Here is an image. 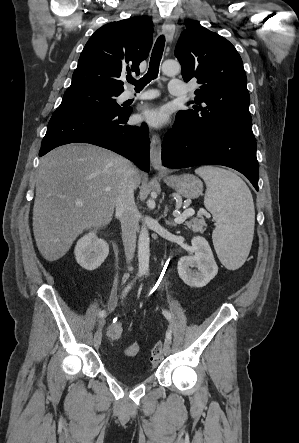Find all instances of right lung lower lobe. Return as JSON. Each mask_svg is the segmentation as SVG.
<instances>
[{"label":"right lung lower lobe","instance_id":"right-lung-lower-lobe-1","mask_svg":"<svg viewBox=\"0 0 299 443\" xmlns=\"http://www.w3.org/2000/svg\"><path fill=\"white\" fill-rule=\"evenodd\" d=\"M132 109L104 112L60 105L53 113L39 156L60 145L90 143L112 150L149 172L150 140L148 128L127 125Z\"/></svg>","mask_w":299,"mask_h":443}]
</instances>
